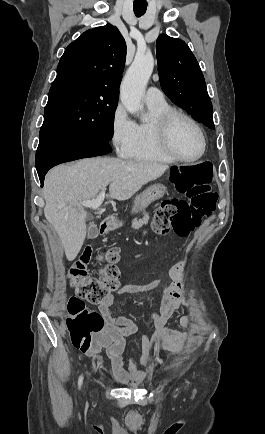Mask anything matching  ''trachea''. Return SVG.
<instances>
[{
  "label": "trachea",
  "instance_id": "1",
  "mask_svg": "<svg viewBox=\"0 0 265 434\" xmlns=\"http://www.w3.org/2000/svg\"><path fill=\"white\" fill-rule=\"evenodd\" d=\"M134 13L137 17H141L147 9V3H134L133 4Z\"/></svg>",
  "mask_w": 265,
  "mask_h": 434
}]
</instances>
